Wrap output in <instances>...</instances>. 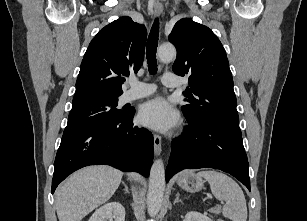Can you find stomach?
<instances>
[{
  "mask_svg": "<svg viewBox=\"0 0 307 221\" xmlns=\"http://www.w3.org/2000/svg\"><path fill=\"white\" fill-rule=\"evenodd\" d=\"M178 185L187 192H199L203 189L205 181L192 171L181 173L177 179Z\"/></svg>",
  "mask_w": 307,
  "mask_h": 221,
  "instance_id": "stomach-1",
  "label": "stomach"
}]
</instances>
